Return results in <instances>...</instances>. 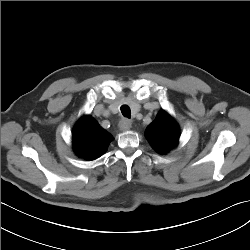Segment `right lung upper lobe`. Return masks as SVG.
<instances>
[{
    "label": "right lung upper lobe",
    "mask_w": 250,
    "mask_h": 250,
    "mask_svg": "<svg viewBox=\"0 0 250 250\" xmlns=\"http://www.w3.org/2000/svg\"><path fill=\"white\" fill-rule=\"evenodd\" d=\"M72 135L75 153L86 160L98 158L113 139L91 116H83Z\"/></svg>",
    "instance_id": "cb5924a9"
}]
</instances>
